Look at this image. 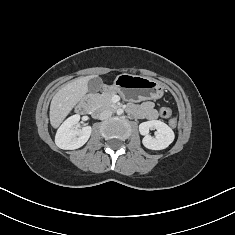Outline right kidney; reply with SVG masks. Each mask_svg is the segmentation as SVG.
<instances>
[{"label": "right kidney", "instance_id": "right-kidney-1", "mask_svg": "<svg viewBox=\"0 0 235 235\" xmlns=\"http://www.w3.org/2000/svg\"><path fill=\"white\" fill-rule=\"evenodd\" d=\"M79 120L80 115H73L60 126L55 137V143L59 148L74 150L82 147L88 141L92 128L91 126H85L78 129Z\"/></svg>", "mask_w": 235, "mask_h": 235}]
</instances>
